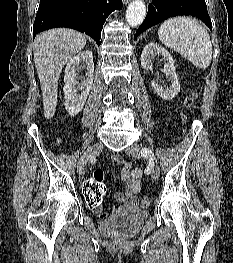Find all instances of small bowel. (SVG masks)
I'll list each match as a JSON object with an SVG mask.
<instances>
[{
  "mask_svg": "<svg viewBox=\"0 0 233 263\" xmlns=\"http://www.w3.org/2000/svg\"><path fill=\"white\" fill-rule=\"evenodd\" d=\"M113 160L121 165L120 174L122 181L125 184L124 190L117 191L114 194L115 200L121 204V206L117 208L116 211H121L127 208L136 207L138 204V199L136 197V194L141 189L143 172L139 168H132L131 164L124 162V160L120 156H115ZM91 209L101 219L106 218V214L103 212L101 204L97 205L96 208H91Z\"/></svg>",
  "mask_w": 233,
  "mask_h": 263,
  "instance_id": "1",
  "label": "small bowel"
}]
</instances>
